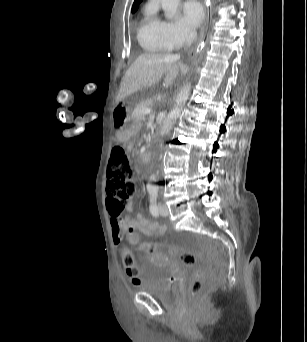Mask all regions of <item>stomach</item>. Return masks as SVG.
I'll use <instances>...</instances> for the list:
<instances>
[{"mask_svg":"<svg viewBox=\"0 0 307 342\" xmlns=\"http://www.w3.org/2000/svg\"><path fill=\"white\" fill-rule=\"evenodd\" d=\"M130 114V109L117 106L113 110V121L120 129H125L130 120Z\"/></svg>","mask_w":307,"mask_h":342,"instance_id":"obj_1","label":"stomach"}]
</instances>
